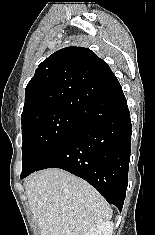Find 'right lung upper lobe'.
<instances>
[{"mask_svg": "<svg viewBox=\"0 0 155 235\" xmlns=\"http://www.w3.org/2000/svg\"><path fill=\"white\" fill-rule=\"evenodd\" d=\"M117 79L107 63L91 50L66 47L39 64L25 91L22 115L39 108L56 106L69 109L88 120V88Z\"/></svg>", "mask_w": 155, "mask_h": 235, "instance_id": "1", "label": "right lung upper lobe"}]
</instances>
